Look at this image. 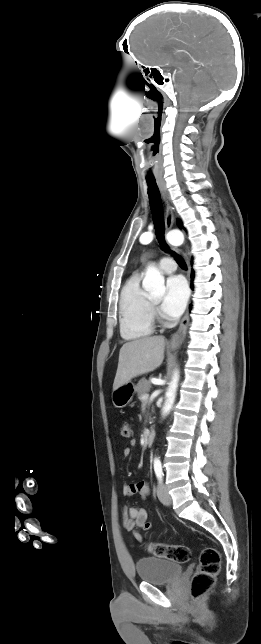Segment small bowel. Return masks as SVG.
<instances>
[{
	"label": "small bowel",
	"mask_w": 261,
	"mask_h": 644,
	"mask_svg": "<svg viewBox=\"0 0 261 644\" xmlns=\"http://www.w3.org/2000/svg\"><path fill=\"white\" fill-rule=\"evenodd\" d=\"M131 444L135 445V441H132ZM130 454L131 449L126 447L123 450V455L128 457ZM122 492L125 496L139 494L141 497H145L149 492V486L146 480L125 483L122 487ZM123 525L127 531L132 533L133 538L138 542L143 540L141 530L150 531L153 528V524L148 519L147 511L138 506L123 508Z\"/></svg>",
	"instance_id": "obj_1"
}]
</instances>
